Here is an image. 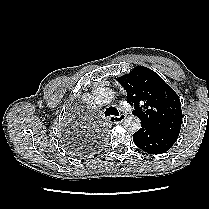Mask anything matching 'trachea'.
Returning <instances> with one entry per match:
<instances>
[{"instance_id":"obj_1","label":"trachea","mask_w":209,"mask_h":209,"mask_svg":"<svg viewBox=\"0 0 209 209\" xmlns=\"http://www.w3.org/2000/svg\"><path fill=\"white\" fill-rule=\"evenodd\" d=\"M110 115L119 116V112L115 107H109L105 111V116H110Z\"/></svg>"}]
</instances>
